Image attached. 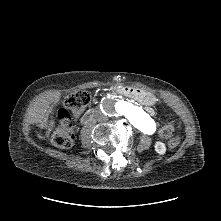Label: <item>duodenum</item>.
Here are the masks:
<instances>
[{
  "instance_id": "410a0bca",
  "label": "duodenum",
  "mask_w": 221,
  "mask_h": 221,
  "mask_svg": "<svg viewBox=\"0 0 221 221\" xmlns=\"http://www.w3.org/2000/svg\"><path fill=\"white\" fill-rule=\"evenodd\" d=\"M133 91L131 88L128 87H124V88H120L118 89V93L120 94H131ZM95 114V110L94 109H90L89 111H87V113L82 117L81 122L83 124L88 123L94 116Z\"/></svg>"
}]
</instances>
